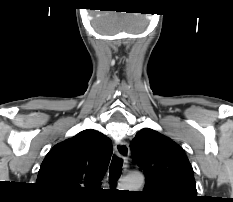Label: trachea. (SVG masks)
<instances>
[{
    "instance_id": "1",
    "label": "trachea",
    "mask_w": 233,
    "mask_h": 202,
    "mask_svg": "<svg viewBox=\"0 0 233 202\" xmlns=\"http://www.w3.org/2000/svg\"><path fill=\"white\" fill-rule=\"evenodd\" d=\"M123 160L117 156H113L110 170H109V181L111 185H115L119 179L122 171Z\"/></svg>"
}]
</instances>
